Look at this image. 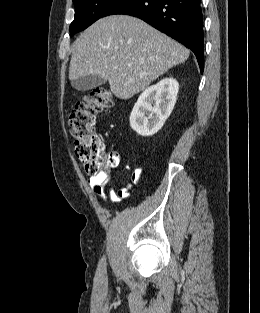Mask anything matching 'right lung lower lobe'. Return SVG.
Returning a JSON list of instances; mask_svg holds the SVG:
<instances>
[{"mask_svg":"<svg viewBox=\"0 0 260 313\" xmlns=\"http://www.w3.org/2000/svg\"><path fill=\"white\" fill-rule=\"evenodd\" d=\"M138 17L191 49L204 69V32L201 0H119L103 17Z\"/></svg>","mask_w":260,"mask_h":313,"instance_id":"right-lung-lower-lobe-1","label":"right lung lower lobe"}]
</instances>
